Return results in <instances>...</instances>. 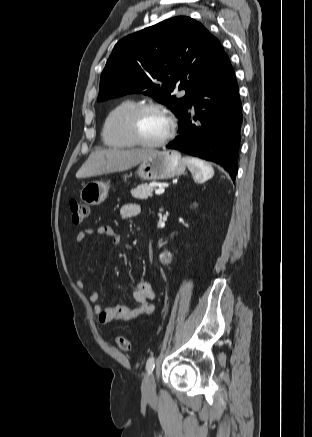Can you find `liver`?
I'll list each match as a JSON object with an SVG mask.
<instances>
[{
	"instance_id": "obj_1",
	"label": "liver",
	"mask_w": 312,
	"mask_h": 437,
	"mask_svg": "<svg viewBox=\"0 0 312 437\" xmlns=\"http://www.w3.org/2000/svg\"><path fill=\"white\" fill-rule=\"evenodd\" d=\"M152 152L148 149H99L89 155L76 177L88 178L124 171L138 165Z\"/></svg>"
}]
</instances>
